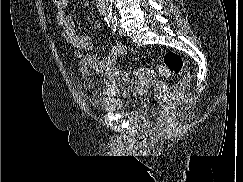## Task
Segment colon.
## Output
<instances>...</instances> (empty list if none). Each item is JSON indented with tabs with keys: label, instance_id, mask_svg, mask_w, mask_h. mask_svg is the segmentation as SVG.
I'll return each mask as SVG.
<instances>
[{
	"label": "colon",
	"instance_id": "obj_1",
	"mask_svg": "<svg viewBox=\"0 0 243 182\" xmlns=\"http://www.w3.org/2000/svg\"><path fill=\"white\" fill-rule=\"evenodd\" d=\"M52 1L58 8H66L70 3V0ZM135 74L137 78L142 81L184 74L179 82L158 94V114L160 117H165L169 113L175 100L182 95L184 89L188 85V76L185 74V61L179 53L174 51L166 52L162 62L155 67L143 66L137 68Z\"/></svg>",
	"mask_w": 243,
	"mask_h": 182
}]
</instances>
